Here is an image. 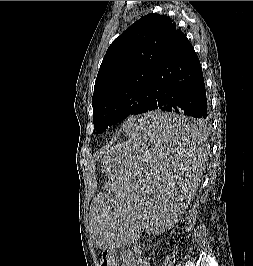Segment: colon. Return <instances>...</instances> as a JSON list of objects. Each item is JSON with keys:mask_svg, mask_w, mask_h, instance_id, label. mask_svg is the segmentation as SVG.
<instances>
[{"mask_svg": "<svg viewBox=\"0 0 253 266\" xmlns=\"http://www.w3.org/2000/svg\"><path fill=\"white\" fill-rule=\"evenodd\" d=\"M100 266H120V261L114 252H104L100 259Z\"/></svg>", "mask_w": 253, "mask_h": 266, "instance_id": "1", "label": "colon"}]
</instances>
